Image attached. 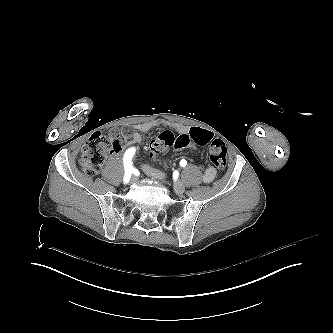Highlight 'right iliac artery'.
<instances>
[{
  "mask_svg": "<svg viewBox=\"0 0 333 333\" xmlns=\"http://www.w3.org/2000/svg\"><path fill=\"white\" fill-rule=\"evenodd\" d=\"M135 153V148H129L124 155L123 162H124V168H125V175H124V182L128 183L131 177V173L133 170V162L132 157Z\"/></svg>",
  "mask_w": 333,
  "mask_h": 333,
  "instance_id": "obj_1",
  "label": "right iliac artery"
}]
</instances>
